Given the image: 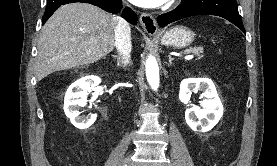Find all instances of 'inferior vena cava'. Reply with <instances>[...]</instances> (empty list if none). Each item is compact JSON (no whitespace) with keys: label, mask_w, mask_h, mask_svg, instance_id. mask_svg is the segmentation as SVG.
<instances>
[{"label":"inferior vena cava","mask_w":277,"mask_h":166,"mask_svg":"<svg viewBox=\"0 0 277 166\" xmlns=\"http://www.w3.org/2000/svg\"><path fill=\"white\" fill-rule=\"evenodd\" d=\"M116 20L115 45L121 56L123 64L127 65L131 60V30L129 24L123 18L116 17Z\"/></svg>","instance_id":"obj_1"}]
</instances>
